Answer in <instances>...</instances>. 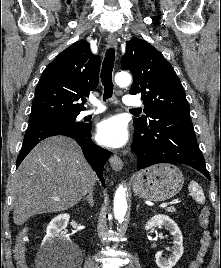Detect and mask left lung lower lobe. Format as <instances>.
I'll list each match as a JSON object with an SVG mask.
<instances>
[{"label": "left lung lower lobe", "instance_id": "left-lung-lower-lobe-1", "mask_svg": "<svg viewBox=\"0 0 221 268\" xmlns=\"http://www.w3.org/2000/svg\"><path fill=\"white\" fill-rule=\"evenodd\" d=\"M134 127L131 149L137 155V170L173 162L189 165L210 179L189 114L154 112L146 124Z\"/></svg>", "mask_w": 221, "mask_h": 268}]
</instances>
